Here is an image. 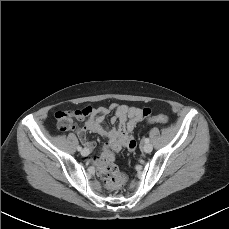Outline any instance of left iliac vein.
I'll return each instance as SVG.
<instances>
[{"label": "left iliac vein", "mask_w": 229, "mask_h": 229, "mask_svg": "<svg viewBox=\"0 0 229 229\" xmlns=\"http://www.w3.org/2000/svg\"><path fill=\"white\" fill-rule=\"evenodd\" d=\"M153 149V146L150 144V143H146L144 146H143V151L145 153H150Z\"/></svg>", "instance_id": "obj_1"}]
</instances>
